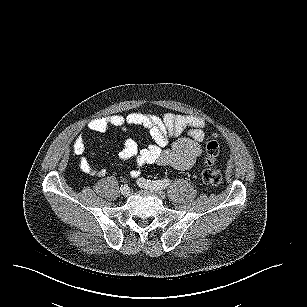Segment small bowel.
Instances as JSON below:
<instances>
[{"instance_id":"obj_1","label":"small bowel","mask_w":307,"mask_h":307,"mask_svg":"<svg viewBox=\"0 0 307 307\" xmlns=\"http://www.w3.org/2000/svg\"><path fill=\"white\" fill-rule=\"evenodd\" d=\"M128 125L146 128L153 142L139 149L137 143L127 139L119 151V159L123 162L133 161L135 169L132 178L140 175V170L147 164L171 166L178 170L192 168L203 152L206 122L194 115L165 113L162 116L153 114L131 113L129 115H110L94 118L89 121L88 128L94 132H106L111 128L124 129ZM188 130L187 136H182ZM173 142L169 146L170 140ZM87 144L82 135L73 142V152L79 156L81 170L91 176L106 174L104 167H98L92 160L93 153L85 156Z\"/></svg>"}]
</instances>
